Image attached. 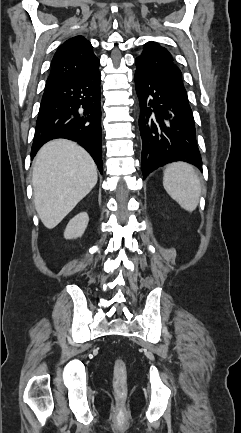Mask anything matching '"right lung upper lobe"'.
<instances>
[{"mask_svg":"<svg viewBox=\"0 0 241 433\" xmlns=\"http://www.w3.org/2000/svg\"><path fill=\"white\" fill-rule=\"evenodd\" d=\"M99 64L100 61L94 55L88 40L82 36L70 38L56 51L46 86L92 71Z\"/></svg>","mask_w":241,"mask_h":433,"instance_id":"obj_1","label":"right lung upper lobe"}]
</instances>
